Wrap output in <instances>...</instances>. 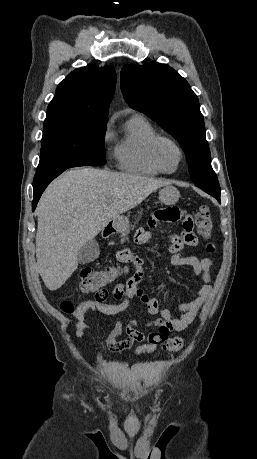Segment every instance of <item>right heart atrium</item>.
<instances>
[{
    "label": "right heart atrium",
    "mask_w": 257,
    "mask_h": 459,
    "mask_svg": "<svg viewBox=\"0 0 257 459\" xmlns=\"http://www.w3.org/2000/svg\"><path fill=\"white\" fill-rule=\"evenodd\" d=\"M112 136V132L110 130V126H107L105 132H104V139L109 140Z\"/></svg>",
    "instance_id": "obj_1"
}]
</instances>
